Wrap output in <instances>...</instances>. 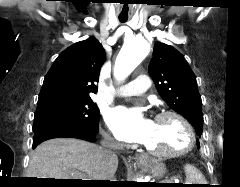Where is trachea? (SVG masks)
Here are the masks:
<instances>
[{
  "mask_svg": "<svg viewBox=\"0 0 240 187\" xmlns=\"http://www.w3.org/2000/svg\"><path fill=\"white\" fill-rule=\"evenodd\" d=\"M128 18L126 17H119V21L120 22H126Z\"/></svg>",
  "mask_w": 240,
  "mask_h": 187,
  "instance_id": "1",
  "label": "trachea"
}]
</instances>
